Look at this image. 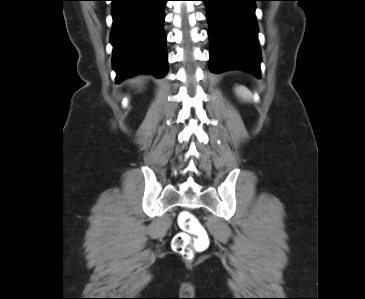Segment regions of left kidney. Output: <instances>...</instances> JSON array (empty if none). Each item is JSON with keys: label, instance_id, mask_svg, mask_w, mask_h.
<instances>
[{"label": "left kidney", "instance_id": "1", "mask_svg": "<svg viewBox=\"0 0 365 299\" xmlns=\"http://www.w3.org/2000/svg\"><path fill=\"white\" fill-rule=\"evenodd\" d=\"M236 93L238 96H240L241 98L243 99H249L250 98V94H249V91L246 87L244 86H239L237 87L236 89Z\"/></svg>", "mask_w": 365, "mask_h": 299}]
</instances>
